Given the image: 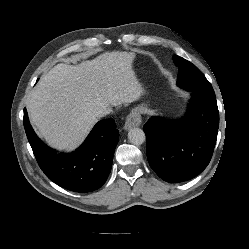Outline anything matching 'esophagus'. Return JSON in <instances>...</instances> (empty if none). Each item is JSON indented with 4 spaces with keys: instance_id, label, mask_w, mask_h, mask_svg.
Masks as SVG:
<instances>
[{
    "instance_id": "esophagus-1",
    "label": "esophagus",
    "mask_w": 249,
    "mask_h": 249,
    "mask_svg": "<svg viewBox=\"0 0 249 249\" xmlns=\"http://www.w3.org/2000/svg\"><path fill=\"white\" fill-rule=\"evenodd\" d=\"M142 122L141 115L138 112V110L134 109L130 112V114L127 116L125 124H124V129L129 130L134 127L140 126Z\"/></svg>"
}]
</instances>
